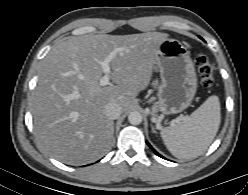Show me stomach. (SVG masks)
I'll list each match as a JSON object with an SVG mask.
<instances>
[{
  "mask_svg": "<svg viewBox=\"0 0 248 195\" xmlns=\"http://www.w3.org/2000/svg\"><path fill=\"white\" fill-rule=\"evenodd\" d=\"M161 83L156 110L164 115L188 108L197 90V76L187 48L178 40L166 39L157 54Z\"/></svg>",
  "mask_w": 248,
  "mask_h": 195,
  "instance_id": "obj_1",
  "label": "stomach"
}]
</instances>
